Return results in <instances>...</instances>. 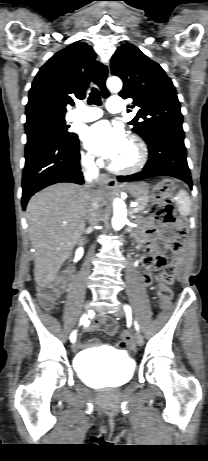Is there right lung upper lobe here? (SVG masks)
<instances>
[{
    "label": "right lung upper lobe",
    "instance_id": "cb5924a9",
    "mask_svg": "<svg viewBox=\"0 0 208 461\" xmlns=\"http://www.w3.org/2000/svg\"><path fill=\"white\" fill-rule=\"evenodd\" d=\"M96 54L87 43L75 42L54 54L38 71L29 91L26 116H65L72 97L84 98Z\"/></svg>",
    "mask_w": 208,
    "mask_h": 461
}]
</instances>
